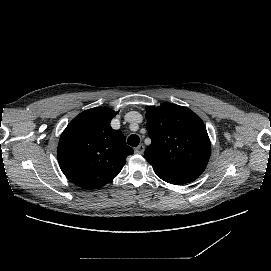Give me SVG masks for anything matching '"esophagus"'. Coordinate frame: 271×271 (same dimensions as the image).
<instances>
[{"instance_id":"esophagus-1","label":"esophagus","mask_w":271,"mask_h":271,"mask_svg":"<svg viewBox=\"0 0 271 271\" xmlns=\"http://www.w3.org/2000/svg\"><path fill=\"white\" fill-rule=\"evenodd\" d=\"M145 151V145L143 144H140L139 146H137L135 149H134V152L136 154H143Z\"/></svg>"}]
</instances>
